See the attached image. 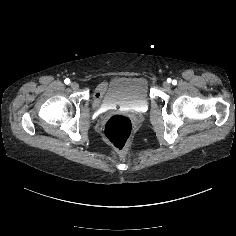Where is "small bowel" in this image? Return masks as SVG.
I'll list each match as a JSON object with an SVG mask.
<instances>
[{"instance_id": "small-bowel-1", "label": "small bowel", "mask_w": 236, "mask_h": 236, "mask_svg": "<svg viewBox=\"0 0 236 236\" xmlns=\"http://www.w3.org/2000/svg\"><path fill=\"white\" fill-rule=\"evenodd\" d=\"M102 88H103V85H100V86L98 87V89L101 90V92H102Z\"/></svg>"}]
</instances>
